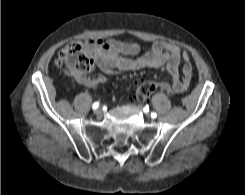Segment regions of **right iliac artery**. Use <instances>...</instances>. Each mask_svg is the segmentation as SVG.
Instances as JSON below:
<instances>
[{
  "label": "right iliac artery",
  "mask_w": 245,
  "mask_h": 195,
  "mask_svg": "<svg viewBox=\"0 0 245 195\" xmlns=\"http://www.w3.org/2000/svg\"><path fill=\"white\" fill-rule=\"evenodd\" d=\"M99 107V103L98 102H95L93 105H92V108L95 110Z\"/></svg>",
  "instance_id": "82829eb1"
}]
</instances>
